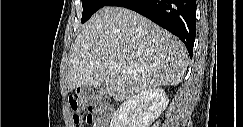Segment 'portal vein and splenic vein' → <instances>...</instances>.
Segmentation results:
<instances>
[{
    "label": "portal vein and splenic vein",
    "instance_id": "1",
    "mask_svg": "<svg viewBox=\"0 0 243 127\" xmlns=\"http://www.w3.org/2000/svg\"><path fill=\"white\" fill-rule=\"evenodd\" d=\"M113 68H114V69H117V70H120V69H121V65H120V64H113ZM127 73H128V74H131L132 71L128 70Z\"/></svg>",
    "mask_w": 243,
    "mask_h": 127
}]
</instances>
